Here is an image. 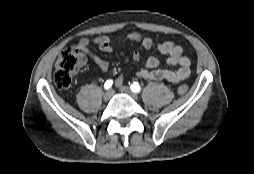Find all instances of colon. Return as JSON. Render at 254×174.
Instances as JSON below:
<instances>
[{
  "mask_svg": "<svg viewBox=\"0 0 254 174\" xmlns=\"http://www.w3.org/2000/svg\"><path fill=\"white\" fill-rule=\"evenodd\" d=\"M87 62V54L84 49L77 45H73L61 52L59 55L55 70L54 83L59 89H67L70 87L75 74ZM179 93L185 94L188 86L182 84L178 88Z\"/></svg>",
  "mask_w": 254,
  "mask_h": 174,
  "instance_id": "obj_1",
  "label": "colon"
}]
</instances>
